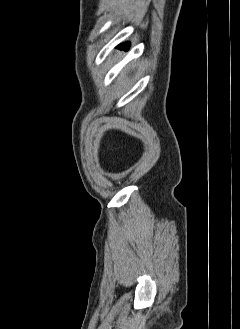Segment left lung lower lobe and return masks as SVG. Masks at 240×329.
Masks as SVG:
<instances>
[{"mask_svg": "<svg viewBox=\"0 0 240 329\" xmlns=\"http://www.w3.org/2000/svg\"><path fill=\"white\" fill-rule=\"evenodd\" d=\"M129 45H130L129 42H126V43L120 44V45L118 46V48H119V49L127 50L128 47H129Z\"/></svg>", "mask_w": 240, "mask_h": 329, "instance_id": "obj_1", "label": "left lung lower lobe"}]
</instances>
